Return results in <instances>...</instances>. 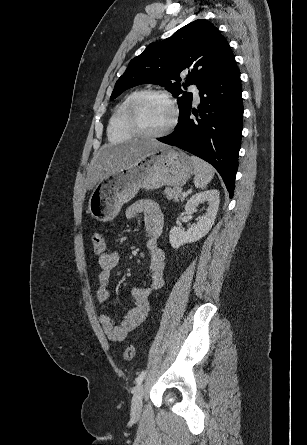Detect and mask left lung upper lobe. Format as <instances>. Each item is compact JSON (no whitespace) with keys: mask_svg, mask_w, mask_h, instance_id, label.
<instances>
[{"mask_svg":"<svg viewBox=\"0 0 307 445\" xmlns=\"http://www.w3.org/2000/svg\"><path fill=\"white\" fill-rule=\"evenodd\" d=\"M233 58L228 42L208 20L198 19L176 31L171 37L153 42L133 58L118 79L110 99L139 84L164 86L176 98L180 121L191 109L192 93L186 94L180 73H188L183 87L196 84L202 89ZM180 94L183 96L178 97Z\"/></svg>","mask_w":307,"mask_h":445,"instance_id":"1","label":"left lung upper lobe"}]
</instances>
